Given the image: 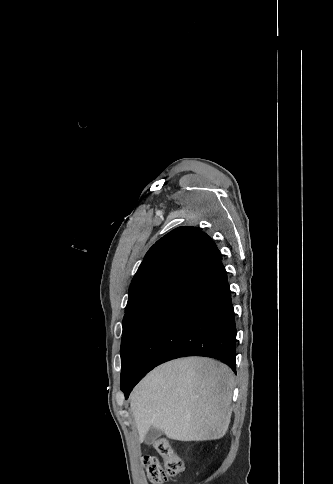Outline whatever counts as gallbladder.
<instances>
[{
	"instance_id": "bac80fb5",
	"label": "gallbladder",
	"mask_w": 333,
	"mask_h": 484,
	"mask_svg": "<svg viewBox=\"0 0 333 484\" xmlns=\"http://www.w3.org/2000/svg\"><path fill=\"white\" fill-rule=\"evenodd\" d=\"M162 434V431L160 429L151 427L149 431L145 435V442L147 444L153 443L160 435Z\"/></svg>"
}]
</instances>
